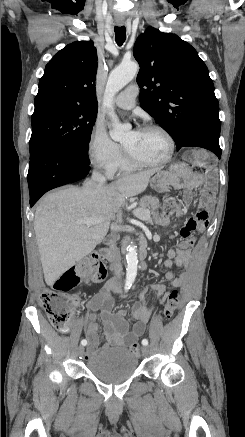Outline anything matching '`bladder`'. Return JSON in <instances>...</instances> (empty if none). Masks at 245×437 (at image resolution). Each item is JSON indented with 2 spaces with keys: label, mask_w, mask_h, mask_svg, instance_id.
Wrapping results in <instances>:
<instances>
[{
  "label": "bladder",
  "mask_w": 245,
  "mask_h": 437,
  "mask_svg": "<svg viewBox=\"0 0 245 437\" xmlns=\"http://www.w3.org/2000/svg\"><path fill=\"white\" fill-rule=\"evenodd\" d=\"M138 367V357L127 348L100 350L86 362L87 370L100 380L117 383L131 377Z\"/></svg>",
  "instance_id": "1"
}]
</instances>
